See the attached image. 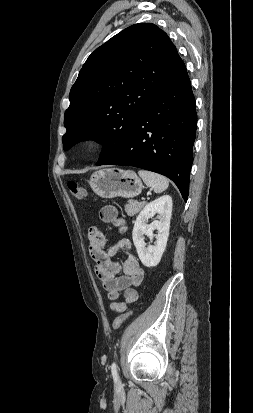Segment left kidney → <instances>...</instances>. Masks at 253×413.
<instances>
[{"label": "left kidney", "mask_w": 253, "mask_h": 413, "mask_svg": "<svg viewBox=\"0 0 253 413\" xmlns=\"http://www.w3.org/2000/svg\"><path fill=\"white\" fill-rule=\"evenodd\" d=\"M171 213L172 198L164 195L148 203L136 219L132 232L133 242L140 261L146 267H155L161 260L169 236ZM155 214H158V220L148 224L149 218ZM154 230H157L156 241L154 245L146 246L144 235L153 239Z\"/></svg>", "instance_id": "5707ae66"}]
</instances>
